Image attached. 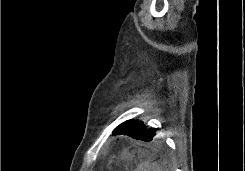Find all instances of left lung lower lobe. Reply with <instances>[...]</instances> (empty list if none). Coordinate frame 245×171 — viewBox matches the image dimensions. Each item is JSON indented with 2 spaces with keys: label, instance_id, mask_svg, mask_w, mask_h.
<instances>
[{
  "label": "left lung lower lobe",
  "instance_id": "left-lung-lower-lobe-1",
  "mask_svg": "<svg viewBox=\"0 0 245 171\" xmlns=\"http://www.w3.org/2000/svg\"><path fill=\"white\" fill-rule=\"evenodd\" d=\"M113 134L127 135L142 141H151L155 136L154 130L146 128L143 122L138 120L123 122L113 130Z\"/></svg>",
  "mask_w": 245,
  "mask_h": 171
}]
</instances>
